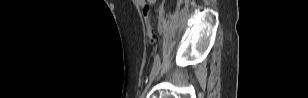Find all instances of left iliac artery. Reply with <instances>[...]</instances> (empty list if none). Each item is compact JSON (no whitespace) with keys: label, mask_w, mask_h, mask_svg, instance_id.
Masks as SVG:
<instances>
[{"label":"left iliac artery","mask_w":308,"mask_h":98,"mask_svg":"<svg viewBox=\"0 0 308 98\" xmlns=\"http://www.w3.org/2000/svg\"><path fill=\"white\" fill-rule=\"evenodd\" d=\"M155 28H156L157 31H159L160 35H166L167 34V29H166L165 25L157 24ZM157 57H158V55H157ZM159 65H160V60L157 58L154 62L150 76L158 71Z\"/></svg>","instance_id":"obj_1"}]
</instances>
